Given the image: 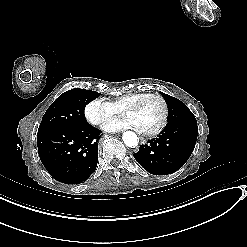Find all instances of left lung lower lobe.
<instances>
[{
  "mask_svg": "<svg viewBox=\"0 0 247 247\" xmlns=\"http://www.w3.org/2000/svg\"><path fill=\"white\" fill-rule=\"evenodd\" d=\"M198 135L197 124L182 123L167 127L134 154L149 173L168 175L179 170L191 156Z\"/></svg>",
  "mask_w": 247,
  "mask_h": 247,
  "instance_id": "left-lung-lower-lobe-1",
  "label": "left lung lower lobe"
}]
</instances>
